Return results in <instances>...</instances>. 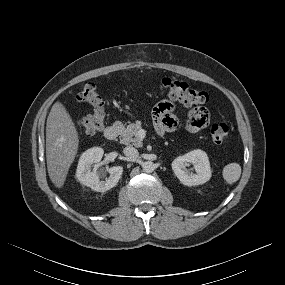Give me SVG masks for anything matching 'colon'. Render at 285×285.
<instances>
[{
  "mask_svg": "<svg viewBox=\"0 0 285 285\" xmlns=\"http://www.w3.org/2000/svg\"><path fill=\"white\" fill-rule=\"evenodd\" d=\"M161 89L169 98V101H178L188 106H199L209 101L206 92L195 89L186 82L172 78H164ZM80 103L90 105L93 110L90 114L82 117L78 122L79 129L85 134L92 135L101 131L105 123V110L103 100L94 84H86L77 95ZM231 125L225 122H216L211 126L210 134L215 143L224 142L231 133Z\"/></svg>",
  "mask_w": 285,
  "mask_h": 285,
  "instance_id": "5ec220e1",
  "label": "colon"
}]
</instances>
